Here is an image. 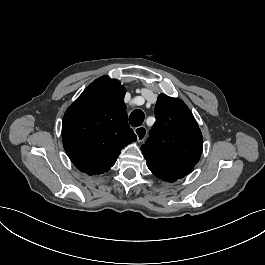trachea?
Returning <instances> with one entry per match:
<instances>
[{"mask_svg": "<svg viewBox=\"0 0 265 265\" xmlns=\"http://www.w3.org/2000/svg\"><path fill=\"white\" fill-rule=\"evenodd\" d=\"M144 121V113L141 110H134L129 117V123L133 127L140 126Z\"/></svg>", "mask_w": 265, "mask_h": 265, "instance_id": "3493384b", "label": "trachea"}]
</instances>
